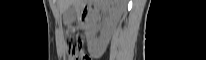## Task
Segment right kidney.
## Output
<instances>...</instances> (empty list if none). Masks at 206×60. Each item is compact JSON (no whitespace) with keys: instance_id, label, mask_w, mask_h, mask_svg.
<instances>
[{"instance_id":"1","label":"right kidney","mask_w":206,"mask_h":60,"mask_svg":"<svg viewBox=\"0 0 206 60\" xmlns=\"http://www.w3.org/2000/svg\"><path fill=\"white\" fill-rule=\"evenodd\" d=\"M100 11L108 14L102 26L98 25ZM121 14L122 8L118 0H102L96 4L89 31V42L92 46L100 50L107 47L111 33L116 27ZM98 30H101L100 37H96Z\"/></svg>"}]
</instances>
